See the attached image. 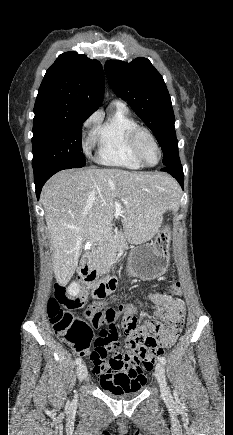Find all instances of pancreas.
<instances>
[{"mask_svg":"<svg viewBox=\"0 0 233 435\" xmlns=\"http://www.w3.org/2000/svg\"><path fill=\"white\" fill-rule=\"evenodd\" d=\"M122 233L115 231V234L109 238L104 246L99 250L95 257V266L102 272L106 273L116 260L117 252L120 248Z\"/></svg>","mask_w":233,"mask_h":435,"instance_id":"cf45deb5","label":"pancreas"}]
</instances>
